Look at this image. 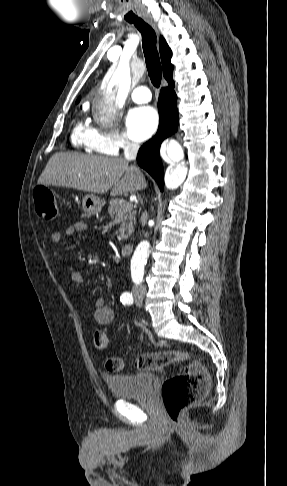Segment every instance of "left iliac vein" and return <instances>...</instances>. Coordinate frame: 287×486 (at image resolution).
Returning a JSON list of instances; mask_svg holds the SVG:
<instances>
[{
  "mask_svg": "<svg viewBox=\"0 0 287 486\" xmlns=\"http://www.w3.org/2000/svg\"><path fill=\"white\" fill-rule=\"evenodd\" d=\"M143 300H144V293L138 294L137 296H135V299H134L135 304L138 307H141L142 306Z\"/></svg>",
  "mask_w": 287,
  "mask_h": 486,
  "instance_id": "4c4485c4",
  "label": "left iliac vein"
}]
</instances>
